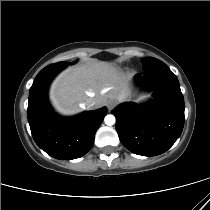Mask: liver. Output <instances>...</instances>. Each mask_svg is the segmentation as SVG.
Here are the masks:
<instances>
[{
  "mask_svg": "<svg viewBox=\"0 0 210 210\" xmlns=\"http://www.w3.org/2000/svg\"><path fill=\"white\" fill-rule=\"evenodd\" d=\"M130 78L109 63L91 61L61 72L51 84L49 97L59 113L73 115L87 108L84 102L88 98L96 101V108L104 106L108 99L127 100ZM144 98L140 96L137 101Z\"/></svg>",
  "mask_w": 210,
  "mask_h": 210,
  "instance_id": "1",
  "label": "liver"
}]
</instances>
